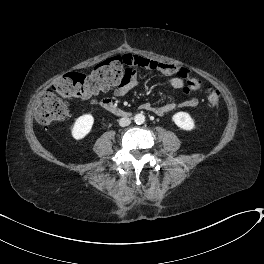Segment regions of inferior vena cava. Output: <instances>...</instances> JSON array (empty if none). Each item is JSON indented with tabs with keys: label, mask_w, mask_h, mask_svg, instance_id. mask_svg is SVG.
I'll return each instance as SVG.
<instances>
[{
	"label": "inferior vena cava",
	"mask_w": 264,
	"mask_h": 264,
	"mask_svg": "<svg viewBox=\"0 0 264 264\" xmlns=\"http://www.w3.org/2000/svg\"><path fill=\"white\" fill-rule=\"evenodd\" d=\"M130 123H131V120L128 117H123V118L119 119V125L121 127H126V126L130 125Z\"/></svg>",
	"instance_id": "inferior-vena-cava-1"
}]
</instances>
